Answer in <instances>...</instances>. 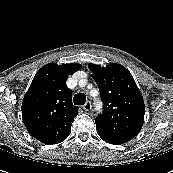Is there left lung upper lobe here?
I'll return each mask as SVG.
<instances>
[{
	"instance_id": "obj_1",
	"label": "left lung upper lobe",
	"mask_w": 173,
	"mask_h": 173,
	"mask_svg": "<svg viewBox=\"0 0 173 173\" xmlns=\"http://www.w3.org/2000/svg\"><path fill=\"white\" fill-rule=\"evenodd\" d=\"M104 103L103 114L95 119L97 131L121 142L140 132L145 114L144 100L131 73L120 64L105 68L89 64Z\"/></svg>"
}]
</instances>
